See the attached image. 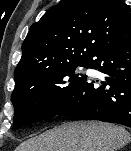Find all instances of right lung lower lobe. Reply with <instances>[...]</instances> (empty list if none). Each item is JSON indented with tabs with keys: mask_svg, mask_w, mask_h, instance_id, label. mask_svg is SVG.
I'll list each match as a JSON object with an SVG mask.
<instances>
[{
	"mask_svg": "<svg viewBox=\"0 0 131 151\" xmlns=\"http://www.w3.org/2000/svg\"><path fill=\"white\" fill-rule=\"evenodd\" d=\"M88 67L104 73L105 81L94 88V81L86 79L55 116L131 127V33L97 49Z\"/></svg>",
	"mask_w": 131,
	"mask_h": 151,
	"instance_id": "right-lung-lower-lobe-1",
	"label": "right lung lower lobe"
}]
</instances>
